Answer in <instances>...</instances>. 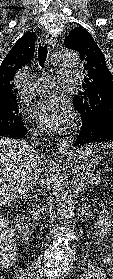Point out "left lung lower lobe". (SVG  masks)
Wrapping results in <instances>:
<instances>
[{"label":"left lung lower lobe","instance_id":"left-lung-lower-lobe-1","mask_svg":"<svg viewBox=\"0 0 113 279\" xmlns=\"http://www.w3.org/2000/svg\"><path fill=\"white\" fill-rule=\"evenodd\" d=\"M79 111L82 127L75 141V146L81 147L92 142L113 141V110L107 106L105 109H93L89 114L85 106L75 105Z\"/></svg>","mask_w":113,"mask_h":279}]
</instances>
